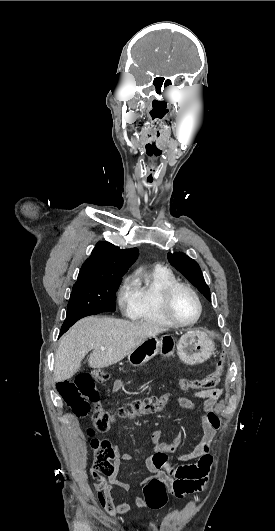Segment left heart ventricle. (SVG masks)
I'll list each match as a JSON object with an SVG mask.
<instances>
[{"instance_id":"1","label":"left heart ventricle","mask_w":275,"mask_h":531,"mask_svg":"<svg viewBox=\"0 0 275 531\" xmlns=\"http://www.w3.org/2000/svg\"><path fill=\"white\" fill-rule=\"evenodd\" d=\"M171 310L181 322L192 321L198 312L196 301L192 295L183 289H178L171 299Z\"/></svg>"}]
</instances>
